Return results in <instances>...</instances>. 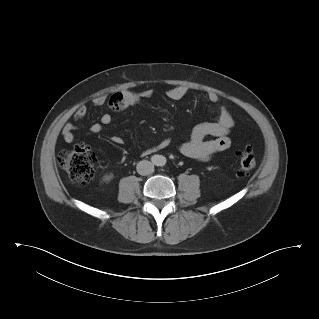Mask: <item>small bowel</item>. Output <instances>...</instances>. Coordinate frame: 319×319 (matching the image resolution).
Returning a JSON list of instances; mask_svg holds the SVG:
<instances>
[{"label": "small bowel", "instance_id": "small-bowel-1", "mask_svg": "<svg viewBox=\"0 0 319 319\" xmlns=\"http://www.w3.org/2000/svg\"><path fill=\"white\" fill-rule=\"evenodd\" d=\"M188 93L185 86H174L167 91V96L174 101L182 99ZM122 95V108H128L136 105L141 99H148L153 95L150 89H145L140 92L125 91ZM211 103H217L219 97L214 92H209L207 95ZM95 107H103L108 105L111 107V100H108L106 95H99L93 99ZM87 114V107L81 105L75 112L74 121L67 122L62 129V138L66 143H72L75 140V131L80 122ZM112 116L109 113L102 114L100 121L94 123L90 127L92 133H101L104 127L110 124ZM234 126L232 115L226 106H219L217 110V118L211 122H205L196 125L190 134L189 140L183 142L179 146V151L182 155L200 161H207L211 159L216 153L226 150L230 145L228 137L229 132ZM110 141L115 144H122L123 139L120 136L113 135ZM168 140H162L157 145L143 150L144 155H149L157 150H163L169 146Z\"/></svg>", "mask_w": 319, "mask_h": 319}]
</instances>
